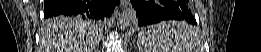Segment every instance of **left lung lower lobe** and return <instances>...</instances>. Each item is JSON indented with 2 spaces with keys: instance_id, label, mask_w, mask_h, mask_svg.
I'll return each mask as SVG.
<instances>
[{
  "instance_id": "left-lung-lower-lobe-1",
  "label": "left lung lower lobe",
  "mask_w": 261,
  "mask_h": 52,
  "mask_svg": "<svg viewBox=\"0 0 261 52\" xmlns=\"http://www.w3.org/2000/svg\"><path fill=\"white\" fill-rule=\"evenodd\" d=\"M131 2L137 12L139 26L163 20H184L197 25L189 9L188 0H131Z\"/></svg>"
}]
</instances>
